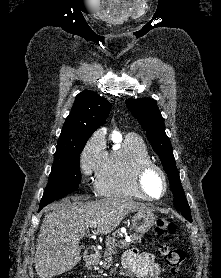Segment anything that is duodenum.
I'll use <instances>...</instances> for the list:
<instances>
[{
    "instance_id": "obj_1",
    "label": "duodenum",
    "mask_w": 221,
    "mask_h": 278,
    "mask_svg": "<svg viewBox=\"0 0 221 278\" xmlns=\"http://www.w3.org/2000/svg\"><path fill=\"white\" fill-rule=\"evenodd\" d=\"M98 253H99V251L95 246H93V245L88 246L85 249V258H86L87 263H89V264L94 263L95 259H97L99 256Z\"/></svg>"
}]
</instances>
